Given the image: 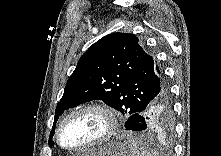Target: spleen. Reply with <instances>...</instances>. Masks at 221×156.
Segmentation results:
<instances>
[{
  "mask_svg": "<svg viewBox=\"0 0 221 156\" xmlns=\"http://www.w3.org/2000/svg\"><path fill=\"white\" fill-rule=\"evenodd\" d=\"M130 150L131 156H154L155 152L149 147V144L143 137L130 139L124 142Z\"/></svg>",
  "mask_w": 221,
  "mask_h": 156,
  "instance_id": "obj_1",
  "label": "spleen"
}]
</instances>
